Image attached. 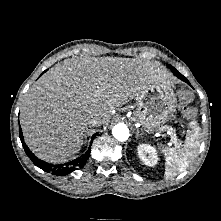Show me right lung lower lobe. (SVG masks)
<instances>
[{
	"instance_id": "1",
	"label": "right lung lower lobe",
	"mask_w": 221,
	"mask_h": 221,
	"mask_svg": "<svg viewBox=\"0 0 221 221\" xmlns=\"http://www.w3.org/2000/svg\"><path fill=\"white\" fill-rule=\"evenodd\" d=\"M44 73V72H43ZM42 73V74H43ZM19 137L20 140L22 142L24 151L26 152L27 156L31 159V161L38 166L39 168H41L42 170H44L45 172H49L52 173L54 175H66L71 173L72 171L81 168L85 165L87 159L89 158L90 155V149L91 147L89 146L87 152L85 154H83L81 157L67 163V164H62V165H52L49 164L47 162H44L40 159H38L31 151L30 149L27 147V145L24 142L23 139V134H22V130L19 127ZM92 143V141H91Z\"/></svg>"
}]
</instances>
